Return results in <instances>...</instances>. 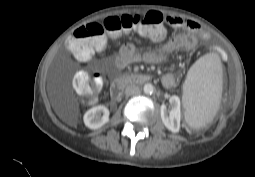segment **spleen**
Returning a JSON list of instances; mask_svg holds the SVG:
<instances>
[{"instance_id": "spleen-1", "label": "spleen", "mask_w": 255, "mask_h": 177, "mask_svg": "<svg viewBox=\"0 0 255 177\" xmlns=\"http://www.w3.org/2000/svg\"><path fill=\"white\" fill-rule=\"evenodd\" d=\"M222 94V63L216 53L200 57L189 69L183 85L185 119L192 128L210 123Z\"/></svg>"}]
</instances>
